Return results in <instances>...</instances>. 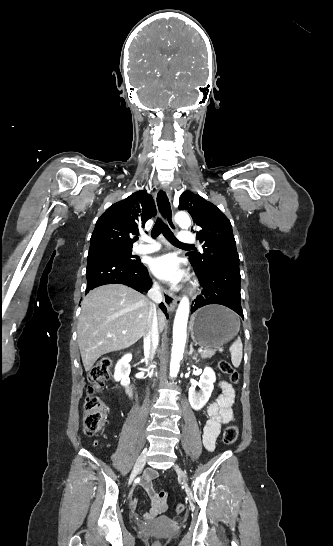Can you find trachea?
Wrapping results in <instances>:
<instances>
[{
    "mask_svg": "<svg viewBox=\"0 0 333 546\" xmlns=\"http://www.w3.org/2000/svg\"><path fill=\"white\" fill-rule=\"evenodd\" d=\"M163 234L164 237L173 245L178 247H190V245L183 244L177 240V238L174 236L170 228L162 221L161 218H157L152 231L151 236L152 238H156L159 234Z\"/></svg>",
    "mask_w": 333,
    "mask_h": 546,
    "instance_id": "obj_1",
    "label": "trachea"
}]
</instances>
